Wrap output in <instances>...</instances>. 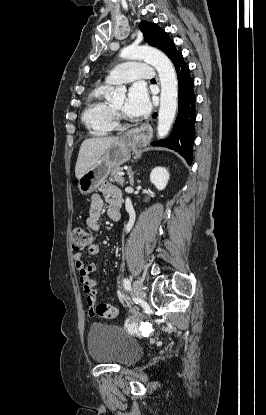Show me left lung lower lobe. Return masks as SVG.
Returning a JSON list of instances; mask_svg holds the SVG:
<instances>
[{
    "label": "left lung lower lobe",
    "instance_id": "1",
    "mask_svg": "<svg viewBox=\"0 0 266 415\" xmlns=\"http://www.w3.org/2000/svg\"><path fill=\"white\" fill-rule=\"evenodd\" d=\"M176 69L179 87V104L176 121L170 137L163 141L152 143L155 146H164L178 152L188 164L192 162L193 143L195 140V102L194 82L190 76L188 65L184 62L181 53L172 60ZM156 114H154V117Z\"/></svg>",
    "mask_w": 266,
    "mask_h": 415
}]
</instances>
